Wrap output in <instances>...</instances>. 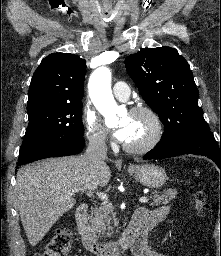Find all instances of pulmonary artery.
<instances>
[{"label": "pulmonary artery", "instance_id": "obj_1", "mask_svg": "<svg viewBox=\"0 0 221 256\" xmlns=\"http://www.w3.org/2000/svg\"><path fill=\"white\" fill-rule=\"evenodd\" d=\"M113 94L117 99L126 101L130 96L129 86L125 82L118 81L113 86Z\"/></svg>", "mask_w": 221, "mask_h": 256}]
</instances>
